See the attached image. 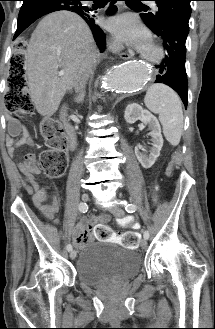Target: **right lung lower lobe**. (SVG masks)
Returning <instances> with one entry per match:
<instances>
[{
	"instance_id": "1",
	"label": "right lung lower lobe",
	"mask_w": 215,
	"mask_h": 329,
	"mask_svg": "<svg viewBox=\"0 0 215 329\" xmlns=\"http://www.w3.org/2000/svg\"><path fill=\"white\" fill-rule=\"evenodd\" d=\"M23 5L18 15L17 30L14 39L21 34L29 25H31L38 18L59 10H68L81 16L89 25L93 37L96 41L100 51L105 49V34L100 26L97 24L95 15L91 13L93 9L82 3L84 0H22ZM116 0H111V6L107 10V14H114L117 10L113 4ZM14 72H19L22 65L16 59L11 61Z\"/></svg>"
}]
</instances>
